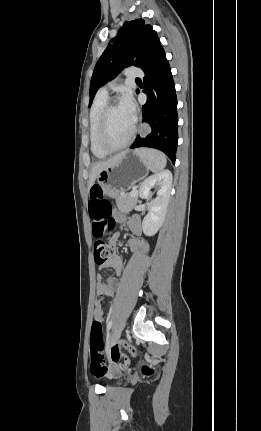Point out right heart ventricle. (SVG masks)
<instances>
[{
  "label": "right heart ventricle",
  "mask_w": 261,
  "mask_h": 431,
  "mask_svg": "<svg viewBox=\"0 0 261 431\" xmlns=\"http://www.w3.org/2000/svg\"><path fill=\"white\" fill-rule=\"evenodd\" d=\"M107 104V96L97 94L89 114V142L92 154L97 158H104L109 152L103 150L98 141L99 120L102 110Z\"/></svg>",
  "instance_id": "obj_1"
}]
</instances>
